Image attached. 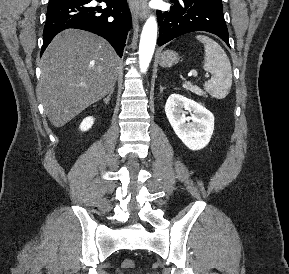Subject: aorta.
Here are the masks:
<instances>
[{"label":"aorta","instance_id":"obj_1","mask_svg":"<svg viewBox=\"0 0 289 274\" xmlns=\"http://www.w3.org/2000/svg\"><path fill=\"white\" fill-rule=\"evenodd\" d=\"M157 39V22L154 16L147 19L140 39L139 65L140 71L145 73L151 62Z\"/></svg>","mask_w":289,"mask_h":274}]
</instances>
